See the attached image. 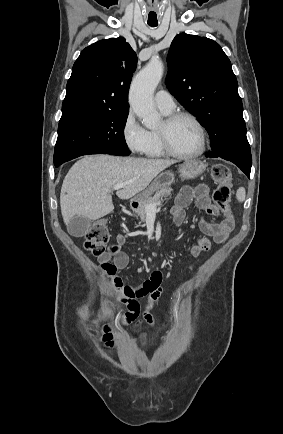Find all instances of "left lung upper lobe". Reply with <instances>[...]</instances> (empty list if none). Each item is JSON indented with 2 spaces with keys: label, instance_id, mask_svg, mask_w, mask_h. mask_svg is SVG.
<instances>
[{
  "label": "left lung upper lobe",
  "instance_id": "left-lung-upper-lobe-1",
  "mask_svg": "<svg viewBox=\"0 0 283 434\" xmlns=\"http://www.w3.org/2000/svg\"><path fill=\"white\" fill-rule=\"evenodd\" d=\"M167 62V88L209 133L212 151L207 155L236 165L252 162L237 79L221 46L181 33L171 43Z\"/></svg>",
  "mask_w": 283,
  "mask_h": 434
}]
</instances>
